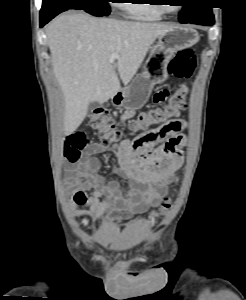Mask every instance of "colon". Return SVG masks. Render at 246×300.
<instances>
[{
  "label": "colon",
  "mask_w": 246,
  "mask_h": 300,
  "mask_svg": "<svg viewBox=\"0 0 246 300\" xmlns=\"http://www.w3.org/2000/svg\"><path fill=\"white\" fill-rule=\"evenodd\" d=\"M196 68V57L191 50H182L170 61L167 67L169 76L178 79H189L193 76ZM188 94V87L181 85L172 95L158 93L154 101L166 100L160 106L151 108L148 111L140 113L131 124L130 130L133 132H142L154 124H161L158 128L147 133L139 135L132 141V147L140 150L148 145H153L160 141H166L177 133L181 123L178 116L181 110L186 108L185 99ZM91 128L98 131V136L103 145H110L120 142L127 135L125 131L119 128L107 109L98 108L93 110L88 119ZM86 137L82 133L73 134L66 143V155L71 161H78L81 152L86 146ZM172 207V201L165 198L158 210L151 213V218L156 220L167 214Z\"/></svg>",
  "instance_id": "colon-1"
}]
</instances>
